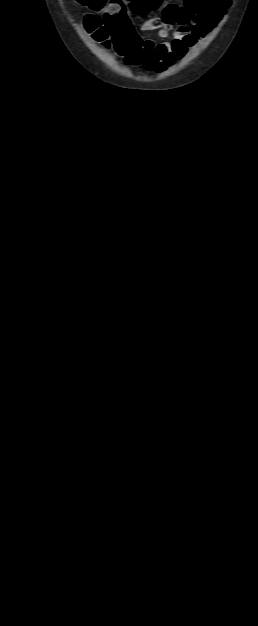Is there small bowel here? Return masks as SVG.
I'll list each match as a JSON object with an SVG mask.
<instances>
[{
    "mask_svg": "<svg viewBox=\"0 0 258 626\" xmlns=\"http://www.w3.org/2000/svg\"><path fill=\"white\" fill-rule=\"evenodd\" d=\"M231 5V0H185L181 5L169 3L162 15L146 21L144 30H156L163 40H142L130 25L121 1L113 2L101 25L96 29L103 33L98 39L112 46L127 62L142 64L149 71L162 72L181 59L197 42L210 33L220 22ZM173 37L165 41L170 32Z\"/></svg>",
    "mask_w": 258,
    "mask_h": 626,
    "instance_id": "1",
    "label": "small bowel"
}]
</instances>
